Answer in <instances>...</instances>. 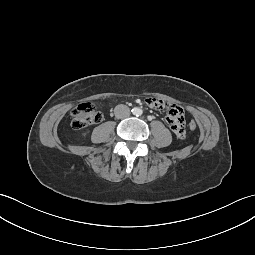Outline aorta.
<instances>
[{"label":"aorta","mask_w":255,"mask_h":255,"mask_svg":"<svg viewBox=\"0 0 255 255\" xmlns=\"http://www.w3.org/2000/svg\"><path fill=\"white\" fill-rule=\"evenodd\" d=\"M133 114L134 115H141L142 114V110L140 108H133Z\"/></svg>","instance_id":"aorta-1"}]
</instances>
